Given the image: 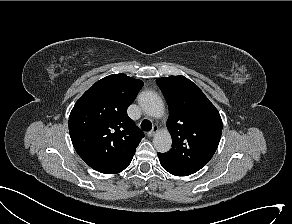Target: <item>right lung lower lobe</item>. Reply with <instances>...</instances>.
<instances>
[{"label": "right lung lower lobe", "instance_id": "1", "mask_svg": "<svg viewBox=\"0 0 292 224\" xmlns=\"http://www.w3.org/2000/svg\"><path fill=\"white\" fill-rule=\"evenodd\" d=\"M132 158L133 157H131L125 161L111 163V164H105V165H101V166H91V165H89V166L91 168L95 169L96 171L101 172V173L116 174V173L123 171L126 167H128L129 164L131 163Z\"/></svg>", "mask_w": 292, "mask_h": 224}]
</instances>
